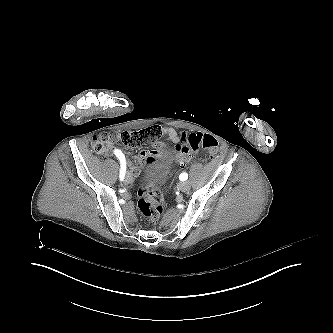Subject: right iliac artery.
I'll list each match as a JSON object with an SVG mask.
<instances>
[{
	"label": "right iliac artery",
	"mask_w": 333,
	"mask_h": 333,
	"mask_svg": "<svg viewBox=\"0 0 333 333\" xmlns=\"http://www.w3.org/2000/svg\"><path fill=\"white\" fill-rule=\"evenodd\" d=\"M115 155L119 158L120 162H121V169H120V180H123L124 176H125V171H126V162H125V156L123 155V153L118 150L115 149L114 150Z\"/></svg>",
	"instance_id": "obj_1"
}]
</instances>
